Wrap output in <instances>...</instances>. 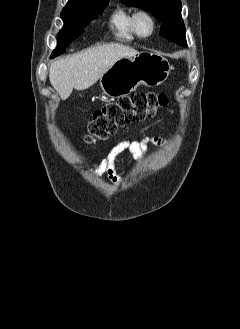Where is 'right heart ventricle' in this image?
I'll list each match as a JSON object with an SVG mask.
<instances>
[{
	"instance_id": "right-heart-ventricle-1",
	"label": "right heart ventricle",
	"mask_w": 240,
	"mask_h": 329,
	"mask_svg": "<svg viewBox=\"0 0 240 329\" xmlns=\"http://www.w3.org/2000/svg\"><path fill=\"white\" fill-rule=\"evenodd\" d=\"M135 12L126 8L118 7L110 18V29L121 40H132L137 35L133 30V17Z\"/></svg>"
}]
</instances>
